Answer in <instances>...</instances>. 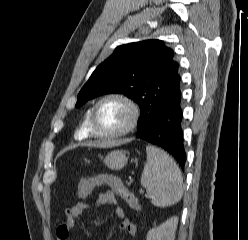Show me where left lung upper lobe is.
Segmentation results:
<instances>
[{
    "label": "left lung upper lobe",
    "instance_id": "left-lung-upper-lobe-1",
    "mask_svg": "<svg viewBox=\"0 0 248 240\" xmlns=\"http://www.w3.org/2000/svg\"><path fill=\"white\" fill-rule=\"evenodd\" d=\"M179 64L174 51L161 40L118 46L92 73L78 94L76 107L107 93H122L140 108L138 132L156 113L181 96Z\"/></svg>",
    "mask_w": 248,
    "mask_h": 240
}]
</instances>
